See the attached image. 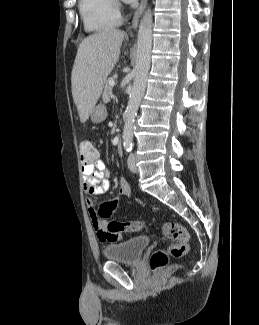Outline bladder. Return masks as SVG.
<instances>
[{
	"instance_id": "obj_1",
	"label": "bladder",
	"mask_w": 259,
	"mask_h": 325,
	"mask_svg": "<svg viewBox=\"0 0 259 325\" xmlns=\"http://www.w3.org/2000/svg\"><path fill=\"white\" fill-rule=\"evenodd\" d=\"M149 243L150 239L146 236L134 237L121 243L106 246L103 249V255L110 261L136 264Z\"/></svg>"
}]
</instances>
